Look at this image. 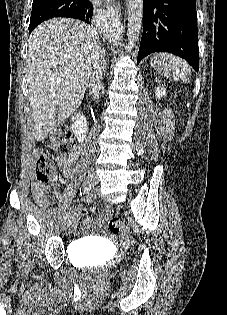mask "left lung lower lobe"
Instances as JSON below:
<instances>
[{
	"label": "left lung lower lobe",
	"instance_id": "0a47b994",
	"mask_svg": "<svg viewBox=\"0 0 227 315\" xmlns=\"http://www.w3.org/2000/svg\"><path fill=\"white\" fill-rule=\"evenodd\" d=\"M143 6L138 63L150 53L164 51L185 59L198 72L196 0H143Z\"/></svg>",
	"mask_w": 227,
	"mask_h": 315
}]
</instances>
